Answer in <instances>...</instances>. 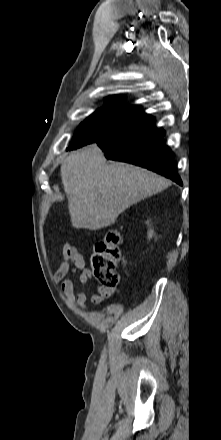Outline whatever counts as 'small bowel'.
<instances>
[{
  "label": "small bowel",
  "instance_id": "c3829d8e",
  "mask_svg": "<svg viewBox=\"0 0 221 440\" xmlns=\"http://www.w3.org/2000/svg\"><path fill=\"white\" fill-rule=\"evenodd\" d=\"M62 257L59 267L54 273V278L58 281H62V290L69 302H75V304L85 310L87 296L84 292L79 291L75 294L74 282L67 276L70 273L79 272L78 283L84 285L91 278V271L86 268L83 255L78 249L69 244H64L62 248ZM115 294L114 289L103 288L99 286L96 292L92 293L91 301L95 304H104L109 298Z\"/></svg>",
  "mask_w": 221,
  "mask_h": 440
}]
</instances>
